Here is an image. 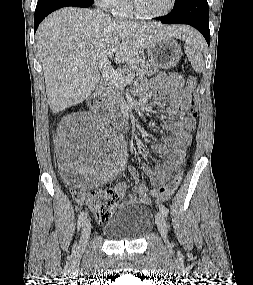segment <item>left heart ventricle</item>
<instances>
[{
	"label": "left heart ventricle",
	"mask_w": 253,
	"mask_h": 285,
	"mask_svg": "<svg viewBox=\"0 0 253 285\" xmlns=\"http://www.w3.org/2000/svg\"><path fill=\"white\" fill-rule=\"evenodd\" d=\"M171 4V0H138L140 9L149 14H157L165 11Z\"/></svg>",
	"instance_id": "obj_1"
}]
</instances>
